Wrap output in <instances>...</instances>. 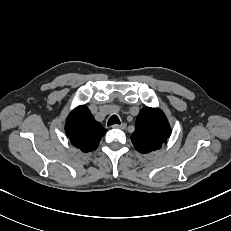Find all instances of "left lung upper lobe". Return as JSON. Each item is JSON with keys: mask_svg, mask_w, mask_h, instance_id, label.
<instances>
[{"mask_svg": "<svg viewBox=\"0 0 231 231\" xmlns=\"http://www.w3.org/2000/svg\"><path fill=\"white\" fill-rule=\"evenodd\" d=\"M171 134L164 113L159 109L143 108L136 119L132 143L140 153H149L162 147Z\"/></svg>", "mask_w": 231, "mask_h": 231, "instance_id": "left-lung-upper-lobe-1", "label": "left lung upper lobe"}]
</instances>
